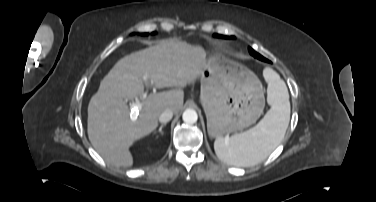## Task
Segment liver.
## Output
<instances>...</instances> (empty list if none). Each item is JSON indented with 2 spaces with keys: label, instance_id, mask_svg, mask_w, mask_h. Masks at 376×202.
<instances>
[{
  "label": "liver",
  "instance_id": "6515ba94",
  "mask_svg": "<svg viewBox=\"0 0 376 202\" xmlns=\"http://www.w3.org/2000/svg\"><path fill=\"white\" fill-rule=\"evenodd\" d=\"M205 61L206 52L201 46L172 39L121 58L103 78L88 105V137L98 154L114 166H132L129 148L158 126L159 116L166 109L180 111L184 98L181 88L195 83ZM144 76L157 88L176 89L143 99ZM134 99L137 113L127 105Z\"/></svg>",
  "mask_w": 376,
  "mask_h": 202
}]
</instances>
